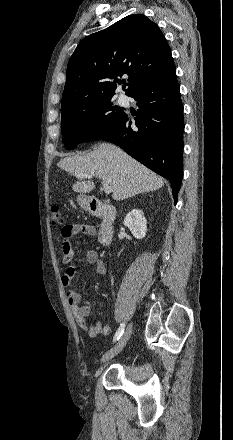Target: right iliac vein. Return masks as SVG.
<instances>
[{
  "instance_id": "63e3f726",
  "label": "right iliac vein",
  "mask_w": 233,
  "mask_h": 440,
  "mask_svg": "<svg viewBox=\"0 0 233 440\" xmlns=\"http://www.w3.org/2000/svg\"><path fill=\"white\" fill-rule=\"evenodd\" d=\"M132 330H133V324L130 323L127 326L122 337L115 344V346L102 356L101 363H105V362L111 360L113 357L118 355L123 350V348L125 347V345L127 344V342L129 341V339L131 337Z\"/></svg>"
}]
</instances>
